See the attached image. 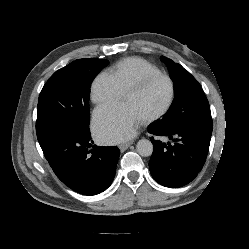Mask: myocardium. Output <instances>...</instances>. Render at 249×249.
Returning <instances> with one entry per match:
<instances>
[{
  "mask_svg": "<svg viewBox=\"0 0 249 249\" xmlns=\"http://www.w3.org/2000/svg\"><path fill=\"white\" fill-rule=\"evenodd\" d=\"M157 79H165L169 83L170 95H169V98L167 100V103L164 105V107L161 110H159L157 113L143 119V121L146 123L156 121V120L164 117L170 111V109L174 103L175 97H176V87H175V83H174L173 79L169 75L164 74V73L146 75L143 78H141L140 80H138L137 82H135L134 84L130 85L124 92V96L126 94H129V93L139 92V91L143 90L151 82H153L154 80H157Z\"/></svg>",
  "mask_w": 249,
  "mask_h": 249,
  "instance_id": "obj_1",
  "label": "myocardium"
}]
</instances>
